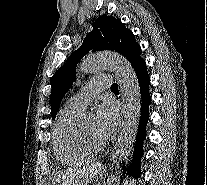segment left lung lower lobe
<instances>
[{
    "mask_svg": "<svg viewBox=\"0 0 207 185\" xmlns=\"http://www.w3.org/2000/svg\"><path fill=\"white\" fill-rule=\"evenodd\" d=\"M135 72L140 86L142 108H141V117L138 127V133L136 137V144L134 148L133 160L127 171L129 174L133 175L134 177H139L140 176L139 160L140 157L143 155L142 146H143V141L146 137V124L149 120L148 107L149 104L151 103V97L149 94L150 78L149 75L147 74L146 65L140 66Z\"/></svg>",
    "mask_w": 207,
    "mask_h": 185,
    "instance_id": "left-lung-lower-lobe-1",
    "label": "left lung lower lobe"
}]
</instances>
